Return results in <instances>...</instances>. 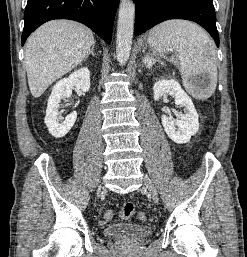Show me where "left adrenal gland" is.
Segmentation results:
<instances>
[{"label":"left adrenal gland","instance_id":"left-adrenal-gland-1","mask_svg":"<svg viewBox=\"0 0 247 257\" xmlns=\"http://www.w3.org/2000/svg\"><path fill=\"white\" fill-rule=\"evenodd\" d=\"M156 62H159L161 65H164L162 61H160L159 59H154L149 55H147L143 60V63L146 65V68L148 69H150L153 66V64H155Z\"/></svg>","mask_w":247,"mask_h":257}]
</instances>
